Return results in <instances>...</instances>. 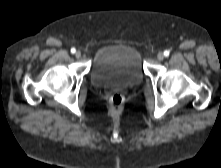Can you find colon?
<instances>
[{
    "mask_svg": "<svg viewBox=\"0 0 221 168\" xmlns=\"http://www.w3.org/2000/svg\"><path fill=\"white\" fill-rule=\"evenodd\" d=\"M124 102V97L120 93H114L109 98L110 109L113 112H117L121 109L122 104Z\"/></svg>",
    "mask_w": 221,
    "mask_h": 168,
    "instance_id": "colon-1",
    "label": "colon"
}]
</instances>
